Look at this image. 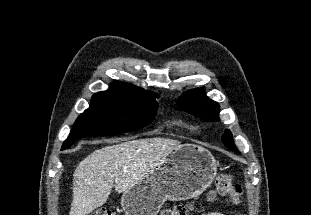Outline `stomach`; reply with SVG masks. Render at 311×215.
<instances>
[{
  "label": "stomach",
  "mask_w": 311,
  "mask_h": 215,
  "mask_svg": "<svg viewBox=\"0 0 311 215\" xmlns=\"http://www.w3.org/2000/svg\"><path fill=\"white\" fill-rule=\"evenodd\" d=\"M215 158L204 147L183 144L121 197L125 215H157L166 200L198 197L217 175Z\"/></svg>",
  "instance_id": "stomach-1"
}]
</instances>
